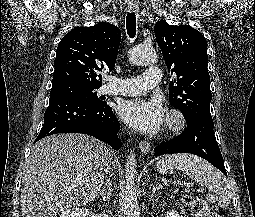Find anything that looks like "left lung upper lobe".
Returning a JSON list of instances; mask_svg holds the SVG:
<instances>
[{
	"label": "left lung upper lobe",
	"instance_id": "5c2ea615",
	"mask_svg": "<svg viewBox=\"0 0 255 217\" xmlns=\"http://www.w3.org/2000/svg\"><path fill=\"white\" fill-rule=\"evenodd\" d=\"M165 64L177 76L169 85L170 104L184 115L187 125L210 119V77L207 41L189 25L172 26L159 21L154 27Z\"/></svg>",
	"mask_w": 255,
	"mask_h": 217
}]
</instances>
